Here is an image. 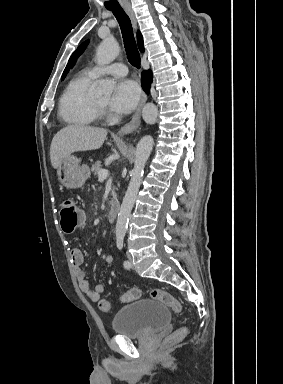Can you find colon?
<instances>
[{
  "mask_svg": "<svg viewBox=\"0 0 283 384\" xmlns=\"http://www.w3.org/2000/svg\"><path fill=\"white\" fill-rule=\"evenodd\" d=\"M59 213L61 228L65 233H73L76 228L83 223V214L71 198H63L61 200ZM139 296L140 290L134 288L122 294L121 300L123 302H130L139 298ZM150 296L151 298L170 307L176 313L180 312L182 309L180 301L163 289H153L150 292ZM99 308L103 312H109L111 310V304L107 300H101L99 302ZM186 333L187 329L185 327H181L167 337L166 343L173 344L178 342L185 337Z\"/></svg>",
  "mask_w": 283,
  "mask_h": 384,
  "instance_id": "5ec220e1",
  "label": "colon"
}]
</instances>
